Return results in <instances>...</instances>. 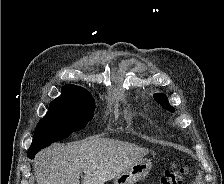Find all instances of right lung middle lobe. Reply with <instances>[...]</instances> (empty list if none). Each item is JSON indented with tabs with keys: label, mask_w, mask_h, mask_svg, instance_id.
<instances>
[{
	"label": "right lung middle lobe",
	"mask_w": 224,
	"mask_h": 184,
	"mask_svg": "<svg viewBox=\"0 0 224 184\" xmlns=\"http://www.w3.org/2000/svg\"><path fill=\"white\" fill-rule=\"evenodd\" d=\"M95 109L91 97L78 101L54 100L47 114L38 122L28 151L37 153L54 142L83 129L93 118Z\"/></svg>",
	"instance_id": "obj_1"
}]
</instances>
